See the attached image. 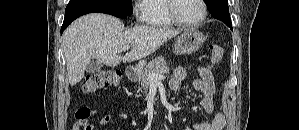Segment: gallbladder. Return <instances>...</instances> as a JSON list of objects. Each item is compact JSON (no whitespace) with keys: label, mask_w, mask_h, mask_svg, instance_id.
<instances>
[{"label":"gallbladder","mask_w":299,"mask_h":130,"mask_svg":"<svg viewBox=\"0 0 299 130\" xmlns=\"http://www.w3.org/2000/svg\"><path fill=\"white\" fill-rule=\"evenodd\" d=\"M102 67V63L96 59H92L86 67V72L88 74L97 73Z\"/></svg>","instance_id":"1"}]
</instances>
